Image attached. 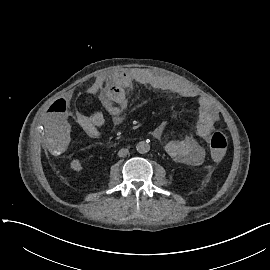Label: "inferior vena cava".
<instances>
[{
    "label": "inferior vena cava",
    "instance_id": "602c4592",
    "mask_svg": "<svg viewBox=\"0 0 270 270\" xmlns=\"http://www.w3.org/2000/svg\"><path fill=\"white\" fill-rule=\"evenodd\" d=\"M128 153H129V150H128V149H121V150H119V152H118V156H119V157H124V156H126Z\"/></svg>",
    "mask_w": 270,
    "mask_h": 270
}]
</instances>
